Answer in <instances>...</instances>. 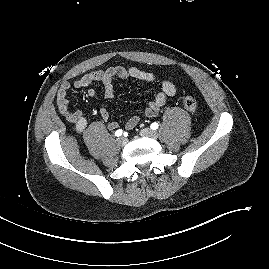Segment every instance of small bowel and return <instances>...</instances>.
<instances>
[{"label": "small bowel", "mask_w": 269, "mask_h": 269, "mask_svg": "<svg viewBox=\"0 0 269 269\" xmlns=\"http://www.w3.org/2000/svg\"><path fill=\"white\" fill-rule=\"evenodd\" d=\"M116 79H135L146 83H157L160 86V92L148 103L146 108L140 115H134L126 122L127 129L135 128L140 122L141 117H155L159 110L165 105L167 97L174 96L177 93V86L170 80L161 79L154 73L141 70L137 67L115 66L105 70H96L84 74L77 79L73 84L63 82L57 92L56 103L61 115L73 125L77 133H82L86 126L87 120L83 112L80 110H72L69 107L68 92L71 87L81 89L93 83H101L104 88V96L107 99L114 97V81ZM89 97L93 98L96 95L94 89L87 91ZM100 118L108 122L109 130H115L119 127L118 122L109 121V112L106 108L99 110Z\"/></svg>", "instance_id": "1"}]
</instances>
